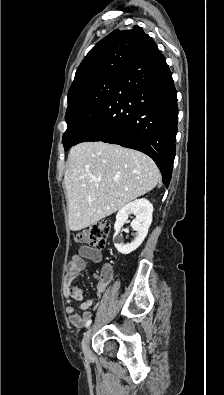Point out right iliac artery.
<instances>
[{
  "label": "right iliac artery",
  "mask_w": 224,
  "mask_h": 395,
  "mask_svg": "<svg viewBox=\"0 0 224 395\" xmlns=\"http://www.w3.org/2000/svg\"><path fill=\"white\" fill-rule=\"evenodd\" d=\"M91 323H92V320H91V319L88 320V321L86 322V324H85V327L88 328V327L91 325Z\"/></svg>",
  "instance_id": "obj_1"
}]
</instances>
